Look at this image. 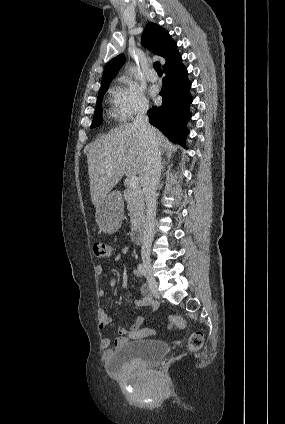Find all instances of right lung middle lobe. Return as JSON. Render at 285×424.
Listing matches in <instances>:
<instances>
[{
  "mask_svg": "<svg viewBox=\"0 0 285 424\" xmlns=\"http://www.w3.org/2000/svg\"><path fill=\"white\" fill-rule=\"evenodd\" d=\"M109 86L101 87L100 92L97 97L96 109L93 117V121L91 124V128H95L102 123V100L105 92L107 91Z\"/></svg>",
  "mask_w": 285,
  "mask_h": 424,
  "instance_id": "obj_1",
  "label": "right lung middle lobe"
}]
</instances>
